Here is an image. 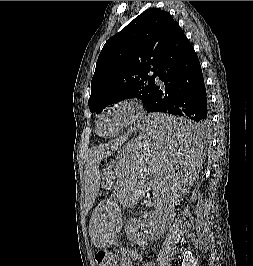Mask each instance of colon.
I'll return each instance as SVG.
<instances>
[{
	"instance_id": "5ec220e1",
	"label": "colon",
	"mask_w": 253,
	"mask_h": 266,
	"mask_svg": "<svg viewBox=\"0 0 253 266\" xmlns=\"http://www.w3.org/2000/svg\"><path fill=\"white\" fill-rule=\"evenodd\" d=\"M95 262L97 266H118L116 255L104 250L95 254Z\"/></svg>"
}]
</instances>
